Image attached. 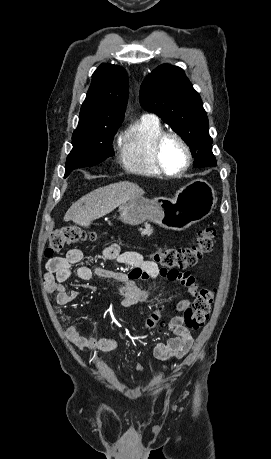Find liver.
Returning <instances> with one entry per match:
<instances>
[{
	"label": "liver",
	"instance_id": "obj_1",
	"mask_svg": "<svg viewBox=\"0 0 271 459\" xmlns=\"http://www.w3.org/2000/svg\"><path fill=\"white\" fill-rule=\"evenodd\" d=\"M143 194H145L144 190L132 182H118V184L98 188L74 202L66 212L64 222L72 220L74 224L88 228L93 220L106 216L132 198H141Z\"/></svg>",
	"mask_w": 271,
	"mask_h": 459
}]
</instances>
